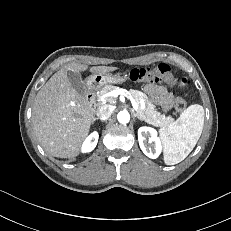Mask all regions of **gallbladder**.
Masks as SVG:
<instances>
[{"label": "gallbladder", "mask_w": 231, "mask_h": 231, "mask_svg": "<svg viewBox=\"0 0 231 231\" xmlns=\"http://www.w3.org/2000/svg\"><path fill=\"white\" fill-rule=\"evenodd\" d=\"M68 79L72 85V87L79 93L84 94L85 93V86L83 84L81 75L79 73H75L72 71H68L67 73Z\"/></svg>", "instance_id": "bac80fb5"}]
</instances>
